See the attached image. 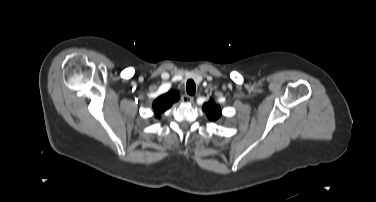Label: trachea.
Segmentation results:
<instances>
[{"instance_id":"3493384b","label":"trachea","mask_w":376,"mask_h":202,"mask_svg":"<svg viewBox=\"0 0 376 202\" xmlns=\"http://www.w3.org/2000/svg\"><path fill=\"white\" fill-rule=\"evenodd\" d=\"M186 91L189 95H194L196 91V85L193 80H188L186 84Z\"/></svg>"}]
</instances>
